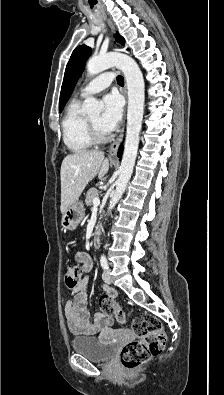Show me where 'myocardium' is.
Here are the masks:
<instances>
[{
	"label": "myocardium",
	"mask_w": 224,
	"mask_h": 395,
	"mask_svg": "<svg viewBox=\"0 0 224 395\" xmlns=\"http://www.w3.org/2000/svg\"><path fill=\"white\" fill-rule=\"evenodd\" d=\"M87 123L89 135L93 143L101 144L108 141L109 136L106 132H101L89 118H87Z\"/></svg>",
	"instance_id": "f54148a6"
}]
</instances>
